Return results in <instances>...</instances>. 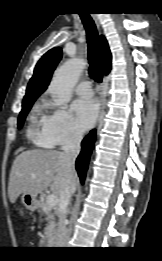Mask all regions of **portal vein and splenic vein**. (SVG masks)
Masks as SVG:
<instances>
[{"instance_id":"obj_1","label":"portal vein and splenic vein","mask_w":162,"mask_h":261,"mask_svg":"<svg viewBox=\"0 0 162 261\" xmlns=\"http://www.w3.org/2000/svg\"><path fill=\"white\" fill-rule=\"evenodd\" d=\"M34 178V176H32ZM46 202L50 208H54L59 202V198L55 194H50L47 196Z\"/></svg>"}]
</instances>
